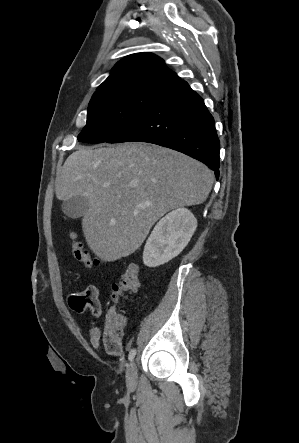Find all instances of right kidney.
Wrapping results in <instances>:
<instances>
[{
	"instance_id": "1",
	"label": "right kidney",
	"mask_w": 299,
	"mask_h": 443,
	"mask_svg": "<svg viewBox=\"0 0 299 443\" xmlns=\"http://www.w3.org/2000/svg\"><path fill=\"white\" fill-rule=\"evenodd\" d=\"M197 228V220L190 210L178 208L155 225L146 241L143 263L148 267L163 265L187 246Z\"/></svg>"
}]
</instances>
